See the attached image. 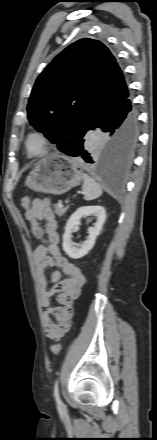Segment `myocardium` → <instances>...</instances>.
Returning <instances> with one entry per match:
<instances>
[{"label": "myocardium", "instance_id": "f54148a6", "mask_svg": "<svg viewBox=\"0 0 157 440\" xmlns=\"http://www.w3.org/2000/svg\"><path fill=\"white\" fill-rule=\"evenodd\" d=\"M32 138H37V139H39V140L41 141L42 145H43L42 150H41L40 152H38V153H32V152L30 151V149H29V142H30V140H31ZM50 146H51V143H50L49 138H48L43 132H40V131H33V132H30V133L26 136V139H25V142H24V147H25L26 152H27L29 155H32V156H41V155L46 154V153L49 151Z\"/></svg>", "mask_w": 157, "mask_h": 440}]
</instances>
